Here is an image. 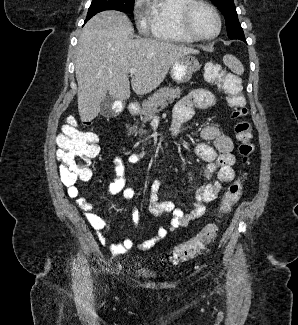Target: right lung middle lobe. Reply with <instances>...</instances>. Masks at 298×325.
<instances>
[{"mask_svg": "<svg viewBox=\"0 0 298 325\" xmlns=\"http://www.w3.org/2000/svg\"><path fill=\"white\" fill-rule=\"evenodd\" d=\"M134 1L135 0H93L89 7L86 20L105 10H118L125 13H132Z\"/></svg>", "mask_w": 298, "mask_h": 325, "instance_id": "right-lung-middle-lobe-1", "label": "right lung middle lobe"}]
</instances>
